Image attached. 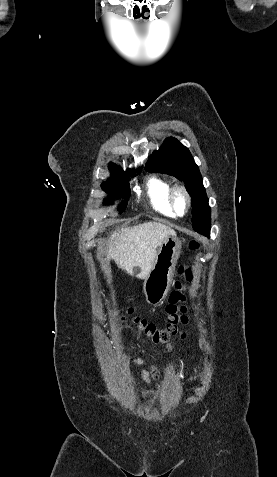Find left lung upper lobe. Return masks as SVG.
I'll return each instance as SVG.
<instances>
[{
	"label": "left lung upper lobe",
	"instance_id": "obj_1",
	"mask_svg": "<svg viewBox=\"0 0 277 477\" xmlns=\"http://www.w3.org/2000/svg\"><path fill=\"white\" fill-rule=\"evenodd\" d=\"M149 172H160L184 181L192 198V227L195 231L211 226V211L203 186V179L188 148L175 138H167L154 151L145 167Z\"/></svg>",
	"mask_w": 277,
	"mask_h": 477
}]
</instances>
